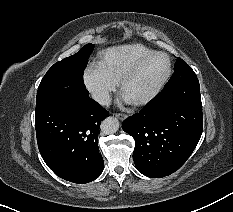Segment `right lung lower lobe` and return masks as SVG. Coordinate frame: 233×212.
<instances>
[{"label":"right lung lower lobe","mask_w":233,"mask_h":212,"mask_svg":"<svg viewBox=\"0 0 233 212\" xmlns=\"http://www.w3.org/2000/svg\"><path fill=\"white\" fill-rule=\"evenodd\" d=\"M107 110L89 98L86 88L69 87L35 112L40 154L59 177L84 184L102 173L104 162L98 148L100 123Z\"/></svg>","instance_id":"1"}]
</instances>
